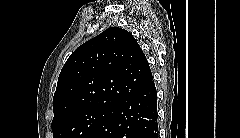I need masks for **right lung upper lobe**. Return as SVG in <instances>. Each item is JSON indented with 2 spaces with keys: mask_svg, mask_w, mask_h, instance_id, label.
<instances>
[{
  "mask_svg": "<svg viewBox=\"0 0 240 138\" xmlns=\"http://www.w3.org/2000/svg\"><path fill=\"white\" fill-rule=\"evenodd\" d=\"M152 81L148 61L132 34L108 28L66 61L53 97L52 121L85 109H109Z\"/></svg>",
  "mask_w": 240,
  "mask_h": 138,
  "instance_id": "1",
  "label": "right lung upper lobe"
}]
</instances>
